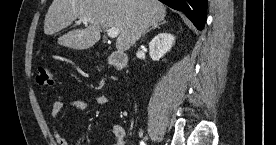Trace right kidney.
Returning a JSON list of instances; mask_svg holds the SVG:
<instances>
[{
    "instance_id": "1",
    "label": "right kidney",
    "mask_w": 276,
    "mask_h": 145,
    "mask_svg": "<svg viewBox=\"0 0 276 145\" xmlns=\"http://www.w3.org/2000/svg\"><path fill=\"white\" fill-rule=\"evenodd\" d=\"M175 38L168 33H159L149 43V54L152 60L159 61L173 46Z\"/></svg>"
}]
</instances>
